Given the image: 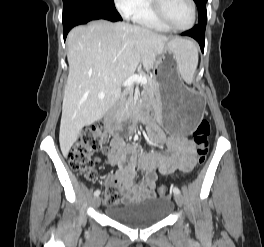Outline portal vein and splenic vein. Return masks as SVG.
<instances>
[{"mask_svg": "<svg viewBox=\"0 0 264 247\" xmlns=\"http://www.w3.org/2000/svg\"><path fill=\"white\" fill-rule=\"evenodd\" d=\"M134 83L135 84H146L147 78L145 76L132 75L128 79H126L122 85L124 87H129V86L133 85ZM104 97H105V94H103V93L98 94L99 99H104Z\"/></svg>", "mask_w": 264, "mask_h": 247, "instance_id": "obj_1", "label": "portal vein and splenic vein"}]
</instances>
